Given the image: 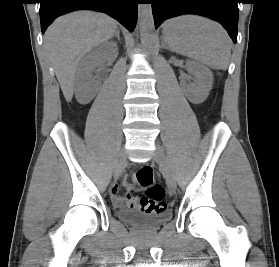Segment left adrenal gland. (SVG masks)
Listing matches in <instances>:
<instances>
[{"label": "left adrenal gland", "instance_id": "left-adrenal-gland-1", "mask_svg": "<svg viewBox=\"0 0 279 267\" xmlns=\"http://www.w3.org/2000/svg\"><path fill=\"white\" fill-rule=\"evenodd\" d=\"M163 47H164L165 49H169L165 44H163Z\"/></svg>", "mask_w": 279, "mask_h": 267}]
</instances>
